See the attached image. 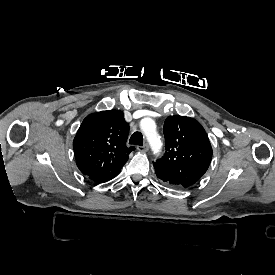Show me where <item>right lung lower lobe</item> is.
Segmentation results:
<instances>
[{
  "instance_id": "98d812e1",
  "label": "right lung lower lobe",
  "mask_w": 275,
  "mask_h": 275,
  "mask_svg": "<svg viewBox=\"0 0 275 275\" xmlns=\"http://www.w3.org/2000/svg\"><path fill=\"white\" fill-rule=\"evenodd\" d=\"M118 173L119 172H113V173H107V174H95V175H90L88 177L96 182L102 183L113 179L118 175Z\"/></svg>"
}]
</instances>
